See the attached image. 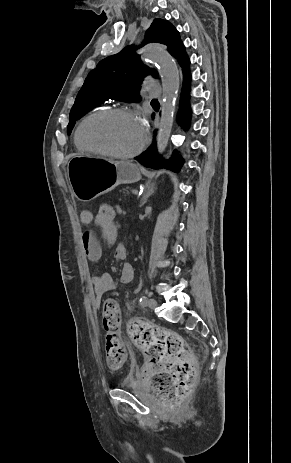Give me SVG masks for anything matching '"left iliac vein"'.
Segmentation results:
<instances>
[{
	"mask_svg": "<svg viewBox=\"0 0 291 463\" xmlns=\"http://www.w3.org/2000/svg\"><path fill=\"white\" fill-rule=\"evenodd\" d=\"M157 305H158V303H157V301H156L155 299L152 298V299L149 300L148 306H149L151 309L156 308Z\"/></svg>",
	"mask_w": 291,
	"mask_h": 463,
	"instance_id": "left-iliac-vein-1",
	"label": "left iliac vein"
}]
</instances>
